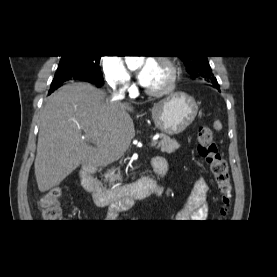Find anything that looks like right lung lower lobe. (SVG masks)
I'll list each match as a JSON object with an SVG mask.
<instances>
[{"label": "right lung lower lobe", "instance_id": "98d812e1", "mask_svg": "<svg viewBox=\"0 0 277 277\" xmlns=\"http://www.w3.org/2000/svg\"><path fill=\"white\" fill-rule=\"evenodd\" d=\"M71 79H82V80H85V81H88V82H91V83H94L98 86H102V84L100 82H96V81H93V80H89L88 78L84 77V76H69ZM69 79H64V80H61V81H58V82H53L52 85H51V88H50V91L49 92H54V90H56L60 85H62L63 82L67 81Z\"/></svg>", "mask_w": 277, "mask_h": 277}]
</instances>
